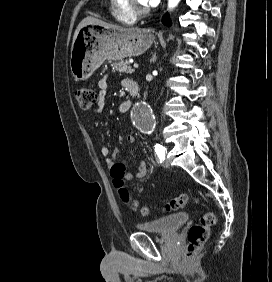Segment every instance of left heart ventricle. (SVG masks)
<instances>
[{
	"instance_id": "left-heart-ventricle-1",
	"label": "left heart ventricle",
	"mask_w": 272,
	"mask_h": 282,
	"mask_svg": "<svg viewBox=\"0 0 272 282\" xmlns=\"http://www.w3.org/2000/svg\"><path fill=\"white\" fill-rule=\"evenodd\" d=\"M137 4L141 7V8H148L145 4L144 0H136Z\"/></svg>"
}]
</instances>
